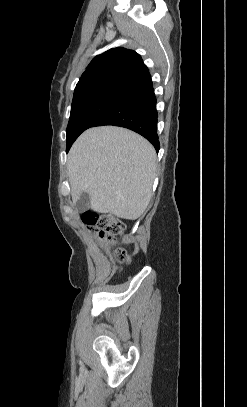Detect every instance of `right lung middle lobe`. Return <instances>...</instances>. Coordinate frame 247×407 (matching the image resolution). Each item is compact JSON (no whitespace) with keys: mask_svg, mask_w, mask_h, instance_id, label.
I'll use <instances>...</instances> for the list:
<instances>
[{"mask_svg":"<svg viewBox=\"0 0 247 407\" xmlns=\"http://www.w3.org/2000/svg\"><path fill=\"white\" fill-rule=\"evenodd\" d=\"M133 89L114 87L92 93L72 102L70 119L67 126V149H70L77 137L93 126L102 116L135 95Z\"/></svg>","mask_w":247,"mask_h":407,"instance_id":"1","label":"right lung middle lobe"}]
</instances>
